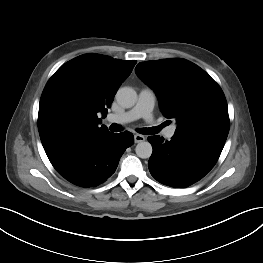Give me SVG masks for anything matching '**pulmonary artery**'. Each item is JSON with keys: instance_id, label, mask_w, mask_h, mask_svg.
<instances>
[{"instance_id": "obj_1", "label": "pulmonary artery", "mask_w": 263, "mask_h": 263, "mask_svg": "<svg viewBox=\"0 0 263 263\" xmlns=\"http://www.w3.org/2000/svg\"><path fill=\"white\" fill-rule=\"evenodd\" d=\"M154 105H155L154 92L149 88H144L140 91L137 103L132 109L120 114H110L108 116V120L117 123H127L137 120L139 118H143L147 122H152L153 121L152 112ZM175 131H176V126L174 125L170 126L166 128L164 135L170 139L174 136Z\"/></svg>"}]
</instances>
